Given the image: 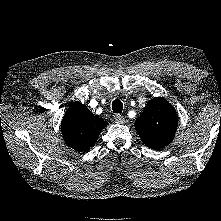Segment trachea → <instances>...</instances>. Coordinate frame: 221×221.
Wrapping results in <instances>:
<instances>
[{
    "mask_svg": "<svg viewBox=\"0 0 221 221\" xmlns=\"http://www.w3.org/2000/svg\"><path fill=\"white\" fill-rule=\"evenodd\" d=\"M112 110L114 113H121L123 110V104L120 100H114L112 102Z\"/></svg>",
    "mask_w": 221,
    "mask_h": 221,
    "instance_id": "1",
    "label": "trachea"
}]
</instances>
